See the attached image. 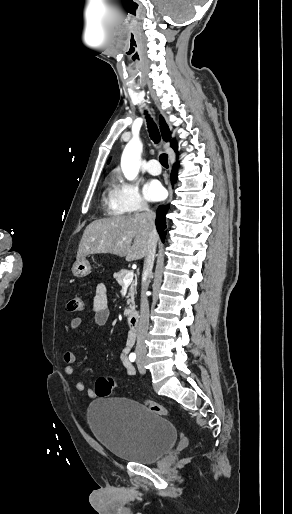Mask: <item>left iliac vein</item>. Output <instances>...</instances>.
Wrapping results in <instances>:
<instances>
[{
    "instance_id": "4c4485c4",
    "label": "left iliac vein",
    "mask_w": 292,
    "mask_h": 514,
    "mask_svg": "<svg viewBox=\"0 0 292 514\" xmlns=\"http://www.w3.org/2000/svg\"><path fill=\"white\" fill-rule=\"evenodd\" d=\"M137 367H138V370L141 374H145L146 373V369H145V366H144V361H142L141 359H138L137 360Z\"/></svg>"
}]
</instances>
